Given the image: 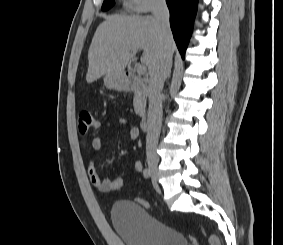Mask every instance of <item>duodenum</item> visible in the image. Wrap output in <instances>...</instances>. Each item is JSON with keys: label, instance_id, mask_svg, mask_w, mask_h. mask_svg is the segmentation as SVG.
<instances>
[{"label": "duodenum", "instance_id": "1", "mask_svg": "<svg viewBox=\"0 0 283 245\" xmlns=\"http://www.w3.org/2000/svg\"><path fill=\"white\" fill-rule=\"evenodd\" d=\"M122 88L127 91H143V80L134 73H126L123 78ZM150 126V118L146 111L141 114L140 127L143 131H147Z\"/></svg>", "mask_w": 283, "mask_h": 245}]
</instances>
